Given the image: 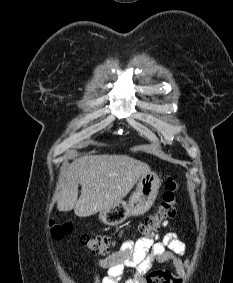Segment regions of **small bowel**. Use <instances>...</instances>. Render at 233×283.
<instances>
[{"label": "small bowel", "mask_w": 233, "mask_h": 283, "mask_svg": "<svg viewBox=\"0 0 233 283\" xmlns=\"http://www.w3.org/2000/svg\"><path fill=\"white\" fill-rule=\"evenodd\" d=\"M163 226L168 227V222L165 221ZM185 252V244L172 231L163 237L152 235L136 241L127 240L118 252L96 262L107 270V274L103 277L95 275L94 280L95 283H182L189 271L188 260L181 258ZM168 261L173 264L177 275L153 270L156 262ZM126 267L135 269L130 278L123 276Z\"/></svg>", "instance_id": "obj_1"}]
</instances>
